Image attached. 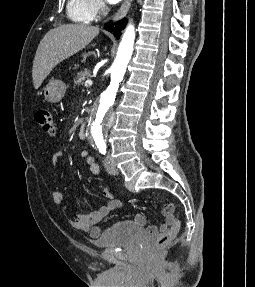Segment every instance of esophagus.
Listing matches in <instances>:
<instances>
[{
    "label": "esophagus",
    "mask_w": 255,
    "mask_h": 287,
    "mask_svg": "<svg viewBox=\"0 0 255 287\" xmlns=\"http://www.w3.org/2000/svg\"><path fill=\"white\" fill-rule=\"evenodd\" d=\"M131 2H132V0H124L123 1L121 7L117 10L116 14L114 15V20H119L127 14L128 10L131 6Z\"/></svg>",
    "instance_id": "1"
}]
</instances>
